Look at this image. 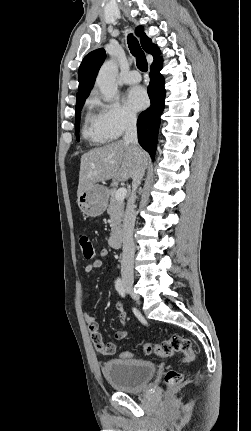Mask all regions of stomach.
Segmentation results:
<instances>
[{"label": "stomach", "mask_w": 251, "mask_h": 431, "mask_svg": "<svg viewBox=\"0 0 251 431\" xmlns=\"http://www.w3.org/2000/svg\"><path fill=\"white\" fill-rule=\"evenodd\" d=\"M107 188L94 185L78 197V206L81 212L88 217H98L103 214L108 201Z\"/></svg>", "instance_id": "1"}]
</instances>
